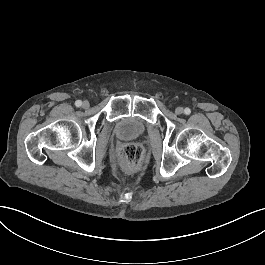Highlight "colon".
Segmentation results:
<instances>
[{"label":"colon","mask_w":265,"mask_h":265,"mask_svg":"<svg viewBox=\"0 0 265 265\" xmlns=\"http://www.w3.org/2000/svg\"><path fill=\"white\" fill-rule=\"evenodd\" d=\"M121 156L130 165H141L144 160L143 150L134 144L125 146L121 151Z\"/></svg>","instance_id":"5ec220e1"}]
</instances>
